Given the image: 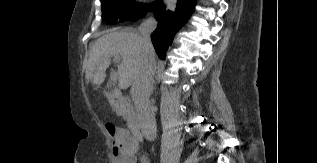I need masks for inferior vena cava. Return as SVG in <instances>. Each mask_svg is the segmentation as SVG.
<instances>
[{
	"instance_id": "inferior-vena-cava-1",
	"label": "inferior vena cava",
	"mask_w": 317,
	"mask_h": 163,
	"mask_svg": "<svg viewBox=\"0 0 317 163\" xmlns=\"http://www.w3.org/2000/svg\"><path fill=\"white\" fill-rule=\"evenodd\" d=\"M157 26L154 18L144 21L139 31L142 42V63L132 85V98L135 104L139 127L147 140H154L157 136L154 109L150 103V96L154 84V48L151 43V33Z\"/></svg>"
}]
</instances>
